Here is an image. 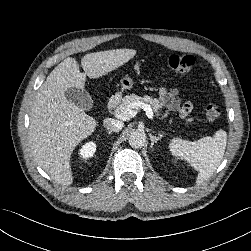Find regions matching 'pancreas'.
<instances>
[{"instance_id": "obj_1", "label": "pancreas", "mask_w": 251, "mask_h": 251, "mask_svg": "<svg viewBox=\"0 0 251 251\" xmlns=\"http://www.w3.org/2000/svg\"><path fill=\"white\" fill-rule=\"evenodd\" d=\"M134 102L149 103L152 106L153 110L156 112H158V110L162 106L160 101L157 98H154L152 96L145 95L143 97H140L138 95L131 94V95H126L122 98L120 105L117 106L115 111H119V112L124 111L131 103H134Z\"/></svg>"}]
</instances>
